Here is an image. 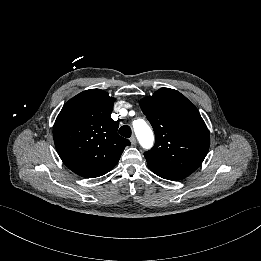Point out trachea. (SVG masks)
I'll return each mask as SVG.
<instances>
[{
  "label": "trachea",
  "instance_id": "trachea-1",
  "mask_svg": "<svg viewBox=\"0 0 261 261\" xmlns=\"http://www.w3.org/2000/svg\"><path fill=\"white\" fill-rule=\"evenodd\" d=\"M119 134L125 138H129L132 134V130L130 128V126L128 125H123L122 127H120L119 129Z\"/></svg>",
  "mask_w": 261,
  "mask_h": 261
}]
</instances>
